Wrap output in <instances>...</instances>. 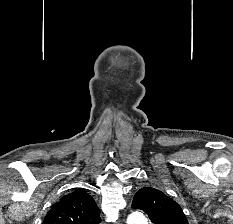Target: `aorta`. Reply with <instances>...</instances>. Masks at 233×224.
<instances>
[{"label":"aorta","instance_id":"aorta-1","mask_svg":"<svg viewBox=\"0 0 233 224\" xmlns=\"http://www.w3.org/2000/svg\"><path fill=\"white\" fill-rule=\"evenodd\" d=\"M127 224H148L147 219L141 212H134L127 218Z\"/></svg>","mask_w":233,"mask_h":224}]
</instances>
